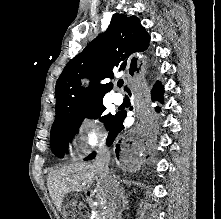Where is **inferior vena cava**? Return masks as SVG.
<instances>
[{"mask_svg":"<svg viewBox=\"0 0 221 219\" xmlns=\"http://www.w3.org/2000/svg\"><path fill=\"white\" fill-rule=\"evenodd\" d=\"M109 161H110V151L104 145H101L96 156V165L98 171L102 176L108 177L111 180L110 191H114V198L106 211V219H122V211L125 207L126 196L124 195L123 189H121V182L118 175H112V172L109 170Z\"/></svg>","mask_w":221,"mask_h":219,"instance_id":"obj_1","label":"inferior vena cava"}]
</instances>
